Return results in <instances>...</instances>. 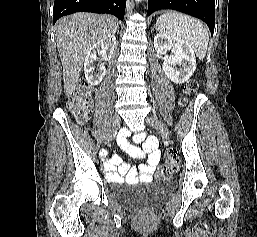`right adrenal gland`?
<instances>
[{
    "instance_id": "right-adrenal-gland-1",
    "label": "right adrenal gland",
    "mask_w": 257,
    "mask_h": 237,
    "mask_svg": "<svg viewBox=\"0 0 257 237\" xmlns=\"http://www.w3.org/2000/svg\"><path fill=\"white\" fill-rule=\"evenodd\" d=\"M116 31H117V33H119V27L117 28V30H116Z\"/></svg>"
}]
</instances>
